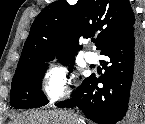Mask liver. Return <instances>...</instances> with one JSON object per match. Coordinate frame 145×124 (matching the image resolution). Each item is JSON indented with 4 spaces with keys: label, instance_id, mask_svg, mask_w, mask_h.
<instances>
[{
    "label": "liver",
    "instance_id": "1",
    "mask_svg": "<svg viewBox=\"0 0 145 124\" xmlns=\"http://www.w3.org/2000/svg\"><path fill=\"white\" fill-rule=\"evenodd\" d=\"M77 119L62 110L30 111L19 115L13 124H78Z\"/></svg>",
    "mask_w": 145,
    "mask_h": 124
}]
</instances>
